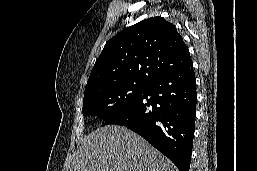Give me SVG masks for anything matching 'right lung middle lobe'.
Instances as JSON below:
<instances>
[{
  "instance_id": "obj_1",
  "label": "right lung middle lobe",
  "mask_w": 257,
  "mask_h": 171,
  "mask_svg": "<svg viewBox=\"0 0 257 171\" xmlns=\"http://www.w3.org/2000/svg\"><path fill=\"white\" fill-rule=\"evenodd\" d=\"M147 86V83L126 82L86 91L82 112L84 115H100L106 122L137 100Z\"/></svg>"
}]
</instances>
